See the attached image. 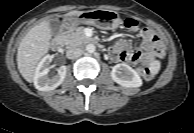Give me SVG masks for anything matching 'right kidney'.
<instances>
[{
    "mask_svg": "<svg viewBox=\"0 0 194 133\" xmlns=\"http://www.w3.org/2000/svg\"><path fill=\"white\" fill-rule=\"evenodd\" d=\"M51 61L52 57L46 55L36 68L34 86L39 91L54 90L64 81L67 72L66 66L59 67L56 75H49V65Z\"/></svg>",
    "mask_w": 194,
    "mask_h": 133,
    "instance_id": "right-kidney-1",
    "label": "right kidney"
}]
</instances>
